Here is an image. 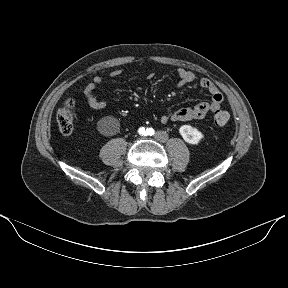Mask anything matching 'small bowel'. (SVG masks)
<instances>
[{"label": "small bowel", "mask_w": 288, "mask_h": 288, "mask_svg": "<svg viewBox=\"0 0 288 288\" xmlns=\"http://www.w3.org/2000/svg\"><path fill=\"white\" fill-rule=\"evenodd\" d=\"M122 74V70H114L110 73V78H117ZM178 86L182 87L193 83L196 79L195 74L187 69L179 68L177 70ZM104 79L101 76H96L84 89V96L89 106L96 110L104 109L107 106L105 101L99 100L95 95L97 86L103 84ZM200 86L207 90L211 95L210 101H203L190 108H181L171 113H165L161 116L160 121L163 124L169 122H184L191 120L203 119L209 112H216L221 108L223 96L218 87L209 79L202 78L199 81Z\"/></svg>", "instance_id": "1"}]
</instances>
